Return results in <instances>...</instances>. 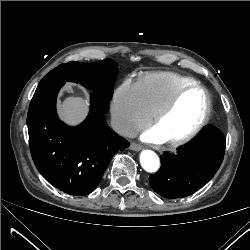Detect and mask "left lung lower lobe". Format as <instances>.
I'll use <instances>...</instances> for the list:
<instances>
[{
    "mask_svg": "<svg viewBox=\"0 0 250 250\" xmlns=\"http://www.w3.org/2000/svg\"><path fill=\"white\" fill-rule=\"evenodd\" d=\"M225 147L221 132L213 127L205 128L194 142L176 154H163L161 168L149 177L152 189L170 199L191 195L217 172Z\"/></svg>",
    "mask_w": 250,
    "mask_h": 250,
    "instance_id": "left-lung-lower-lobe-1",
    "label": "left lung lower lobe"
}]
</instances>
